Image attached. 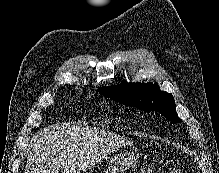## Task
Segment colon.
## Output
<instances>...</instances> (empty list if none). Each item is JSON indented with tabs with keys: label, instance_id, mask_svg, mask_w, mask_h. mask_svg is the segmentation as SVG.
<instances>
[{
	"label": "colon",
	"instance_id": "obj_1",
	"mask_svg": "<svg viewBox=\"0 0 219 173\" xmlns=\"http://www.w3.org/2000/svg\"><path fill=\"white\" fill-rule=\"evenodd\" d=\"M143 173H184L180 164L173 159L152 160Z\"/></svg>",
	"mask_w": 219,
	"mask_h": 173
}]
</instances>
